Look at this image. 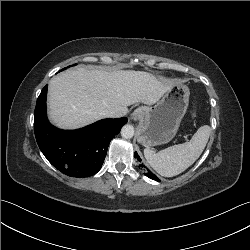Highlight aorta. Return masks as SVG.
<instances>
[{"instance_id":"obj_1","label":"aorta","mask_w":250,"mask_h":250,"mask_svg":"<svg viewBox=\"0 0 250 250\" xmlns=\"http://www.w3.org/2000/svg\"><path fill=\"white\" fill-rule=\"evenodd\" d=\"M134 135V127L130 124H126L121 129V136L125 139H130Z\"/></svg>"}]
</instances>
